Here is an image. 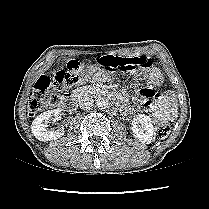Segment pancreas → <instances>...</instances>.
Returning <instances> with one entry per match:
<instances>
[{"label":"pancreas","instance_id":"obj_1","mask_svg":"<svg viewBox=\"0 0 209 209\" xmlns=\"http://www.w3.org/2000/svg\"><path fill=\"white\" fill-rule=\"evenodd\" d=\"M78 92L81 95H88V94H97L99 92V89L95 85H88V86H83L80 89H78Z\"/></svg>","mask_w":209,"mask_h":209}]
</instances>
